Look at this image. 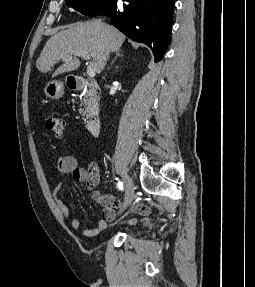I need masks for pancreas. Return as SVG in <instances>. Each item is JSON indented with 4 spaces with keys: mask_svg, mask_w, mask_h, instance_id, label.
Here are the masks:
<instances>
[{
    "mask_svg": "<svg viewBox=\"0 0 255 287\" xmlns=\"http://www.w3.org/2000/svg\"><path fill=\"white\" fill-rule=\"evenodd\" d=\"M98 102H100V96L96 90H87L84 94V98L81 100V106L83 110L82 116L85 118H93L96 116V108H98Z\"/></svg>",
    "mask_w": 255,
    "mask_h": 287,
    "instance_id": "1",
    "label": "pancreas"
}]
</instances>
